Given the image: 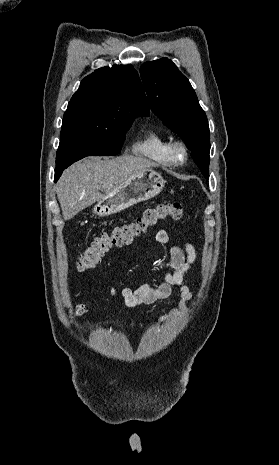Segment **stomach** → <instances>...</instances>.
I'll return each mask as SVG.
<instances>
[{"mask_svg": "<svg viewBox=\"0 0 279 465\" xmlns=\"http://www.w3.org/2000/svg\"><path fill=\"white\" fill-rule=\"evenodd\" d=\"M162 176L153 170L136 173L117 189L105 195L93 208L98 216L121 212L137 203L158 195L164 188Z\"/></svg>", "mask_w": 279, "mask_h": 465, "instance_id": "1", "label": "stomach"}]
</instances>
